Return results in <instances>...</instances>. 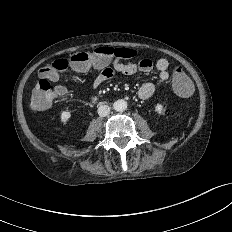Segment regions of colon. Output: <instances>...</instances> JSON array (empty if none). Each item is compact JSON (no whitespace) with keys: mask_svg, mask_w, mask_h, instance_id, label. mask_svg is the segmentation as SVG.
Masks as SVG:
<instances>
[{"mask_svg":"<svg viewBox=\"0 0 232 232\" xmlns=\"http://www.w3.org/2000/svg\"><path fill=\"white\" fill-rule=\"evenodd\" d=\"M136 55L137 51L131 48L100 47L92 51L77 52L68 59H56L40 70V79L31 97V106L37 111L45 110L53 104L57 97L65 93L63 86L52 87L51 82L56 81L59 75L68 68L76 72H83L90 65L106 63L114 58L128 60ZM172 85L174 91L181 97H188L192 93L191 81L179 67L174 70Z\"/></svg>","mask_w":232,"mask_h":232,"instance_id":"1","label":"colon"}]
</instances>
